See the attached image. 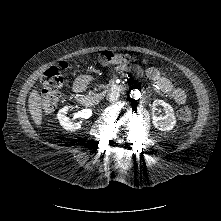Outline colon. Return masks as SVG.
Masks as SVG:
<instances>
[{"label": "colon", "mask_w": 221, "mask_h": 221, "mask_svg": "<svg viewBox=\"0 0 221 221\" xmlns=\"http://www.w3.org/2000/svg\"><path fill=\"white\" fill-rule=\"evenodd\" d=\"M100 63L104 67H109L110 65L116 66L118 64H120L123 67H129L132 64L138 66L142 63L147 71L153 73H157L166 68L163 62H157L149 57L142 58V56L138 53H135L132 56L129 54H123L119 56L116 53H112L110 55L104 54L100 58ZM61 68H65V65L61 64L59 68L52 67L45 72L43 83L46 87L57 88L62 84L63 79L60 74ZM56 99L57 94L54 91L48 92L45 97V106H53L55 104ZM177 105L179 117L184 121L190 120L192 113V104L189 98L185 95L181 96L177 99Z\"/></svg>", "instance_id": "obj_1"}]
</instances>
